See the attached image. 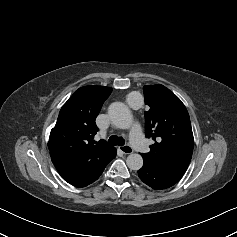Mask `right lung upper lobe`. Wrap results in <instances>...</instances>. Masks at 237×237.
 <instances>
[{
  "label": "right lung upper lobe",
  "instance_id": "obj_1",
  "mask_svg": "<svg viewBox=\"0 0 237 237\" xmlns=\"http://www.w3.org/2000/svg\"><path fill=\"white\" fill-rule=\"evenodd\" d=\"M112 88L84 86L79 88L60 110L48 142L50 156L65 157L80 166L99 164L115 148L93 140L98 128L95 119Z\"/></svg>",
  "mask_w": 237,
  "mask_h": 237
}]
</instances>
